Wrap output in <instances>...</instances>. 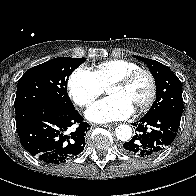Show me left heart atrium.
Wrapping results in <instances>:
<instances>
[{
	"mask_svg": "<svg viewBox=\"0 0 196 196\" xmlns=\"http://www.w3.org/2000/svg\"><path fill=\"white\" fill-rule=\"evenodd\" d=\"M133 112V106L124 98L109 96L94 104L86 112V117L95 123H107L127 119Z\"/></svg>",
	"mask_w": 196,
	"mask_h": 196,
	"instance_id": "obj_1",
	"label": "left heart atrium"
}]
</instances>
